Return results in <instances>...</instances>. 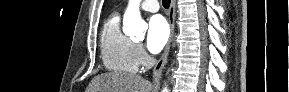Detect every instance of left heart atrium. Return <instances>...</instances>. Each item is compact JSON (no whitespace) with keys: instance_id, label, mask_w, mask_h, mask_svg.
Returning <instances> with one entry per match:
<instances>
[{"instance_id":"39dd6f15","label":"left heart atrium","mask_w":289,"mask_h":92,"mask_svg":"<svg viewBox=\"0 0 289 92\" xmlns=\"http://www.w3.org/2000/svg\"><path fill=\"white\" fill-rule=\"evenodd\" d=\"M169 26L166 19L161 15H154L149 19L146 45L151 53L162 50L169 38Z\"/></svg>"}]
</instances>
